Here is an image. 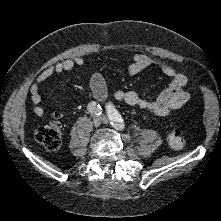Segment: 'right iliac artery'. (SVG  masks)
Wrapping results in <instances>:
<instances>
[{"instance_id":"obj_1","label":"right iliac artery","mask_w":221,"mask_h":221,"mask_svg":"<svg viewBox=\"0 0 221 221\" xmlns=\"http://www.w3.org/2000/svg\"><path fill=\"white\" fill-rule=\"evenodd\" d=\"M88 111L93 115H100L102 113V108L95 101H91L87 107Z\"/></svg>"}]
</instances>
